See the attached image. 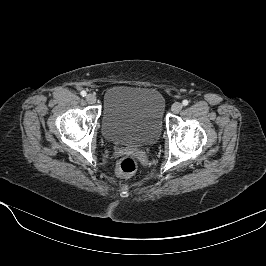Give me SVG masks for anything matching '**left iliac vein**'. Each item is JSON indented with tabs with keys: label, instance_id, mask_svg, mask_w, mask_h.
Here are the masks:
<instances>
[{
	"label": "left iliac vein",
	"instance_id": "left-iliac-vein-1",
	"mask_svg": "<svg viewBox=\"0 0 266 266\" xmlns=\"http://www.w3.org/2000/svg\"><path fill=\"white\" fill-rule=\"evenodd\" d=\"M183 105L180 103V102H175L173 105H172V112L173 113H179L182 109Z\"/></svg>",
	"mask_w": 266,
	"mask_h": 266
}]
</instances>
